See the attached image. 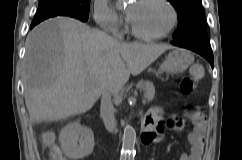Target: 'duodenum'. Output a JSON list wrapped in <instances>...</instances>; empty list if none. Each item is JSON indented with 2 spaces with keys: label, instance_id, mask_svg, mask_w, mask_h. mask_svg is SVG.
<instances>
[{
  "label": "duodenum",
  "instance_id": "duodenum-1",
  "mask_svg": "<svg viewBox=\"0 0 242 160\" xmlns=\"http://www.w3.org/2000/svg\"><path fill=\"white\" fill-rule=\"evenodd\" d=\"M140 127H143V119L139 120L137 123Z\"/></svg>",
  "mask_w": 242,
  "mask_h": 160
}]
</instances>
